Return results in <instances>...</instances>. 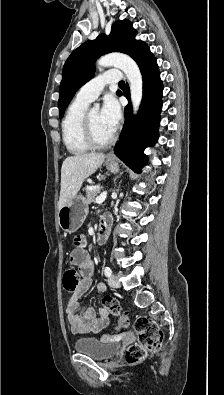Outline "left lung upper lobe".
Instances as JSON below:
<instances>
[{
    "label": "left lung upper lobe",
    "instance_id": "obj_1",
    "mask_svg": "<svg viewBox=\"0 0 224 395\" xmlns=\"http://www.w3.org/2000/svg\"><path fill=\"white\" fill-rule=\"evenodd\" d=\"M135 36L136 32L130 21H116L109 36L101 34L95 40L83 43L71 53L63 67L58 101L59 118H62L76 91L93 77L96 58L109 52H122L133 59L136 57L146 44L137 41Z\"/></svg>",
    "mask_w": 224,
    "mask_h": 395
}]
</instances>
